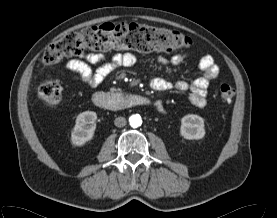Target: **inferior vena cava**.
<instances>
[{"instance_id":"obj_1","label":"inferior vena cava","mask_w":277,"mask_h":218,"mask_svg":"<svg viewBox=\"0 0 277 218\" xmlns=\"http://www.w3.org/2000/svg\"><path fill=\"white\" fill-rule=\"evenodd\" d=\"M127 123L126 119L124 117H117L115 120H114V124L115 126L117 127H123L125 126Z\"/></svg>"}]
</instances>
